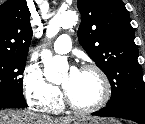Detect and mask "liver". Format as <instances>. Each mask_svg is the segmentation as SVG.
Instances as JSON below:
<instances>
[{"label":"liver","mask_w":145,"mask_h":124,"mask_svg":"<svg viewBox=\"0 0 145 124\" xmlns=\"http://www.w3.org/2000/svg\"><path fill=\"white\" fill-rule=\"evenodd\" d=\"M75 118L52 119L20 110H0V124H71Z\"/></svg>","instance_id":"6515ba94"}]
</instances>
